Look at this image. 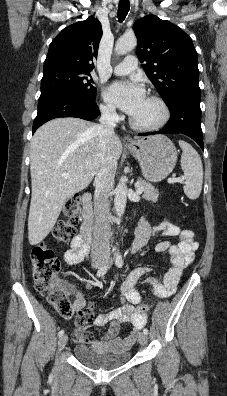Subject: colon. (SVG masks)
<instances>
[{
	"label": "colon",
	"instance_id": "colon-1",
	"mask_svg": "<svg viewBox=\"0 0 227 396\" xmlns=\"http://www.w3.org/2000/svg\"><path fill=\"white\" fill-rule=\"evenodd\" d=\"M82 198L75 194L64 204L63 219L58 223L53 234L60 242H67L76 232L79 222ZM32 274L35 288L46 295L48 302L57 312L66 318L73 315V307L66 288L59 279L60 262L54 252L45 242L36 244L30 253ZM140 313L148 312L149 306L140 303L137 306Z\"/></svg>",
	"mask_w": 227,
	"mask_h": 396
}]
</instances>
